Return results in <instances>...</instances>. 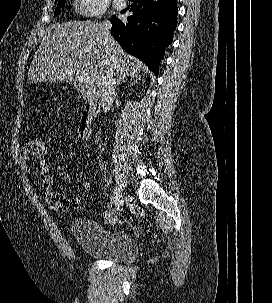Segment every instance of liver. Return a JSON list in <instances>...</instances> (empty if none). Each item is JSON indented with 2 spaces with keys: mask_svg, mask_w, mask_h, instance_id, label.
I'll list each match as a JSON object with an SVG mask.
<instances>
[{
  "mask_svg": "<svg viewBox=\"0 0 272 303\" xmlns=\"http://www.w3.org/2000/svg\"><path fill=\"white\" fill-rule=\"evenodd\" d=\"M110 60L115 75L138 73L141 62L127 54L96 21H70L48 27L28 71L30 83L73 80L83 73L89 81L81 86L83 98L93 103L101 95L102 76Z\"/></svg>",
  "mask_w": 272,
  "mask_h": 303,
  "instance_id": "1",
  "label": "liver"
}]
</instances>
